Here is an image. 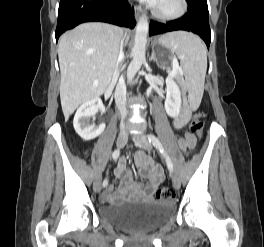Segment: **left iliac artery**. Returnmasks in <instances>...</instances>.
Segmentation results:
<instances>
[{
    "mask_svg": "<svg viewBox=\"0 0 264 247\" xmlns=\"http://www.w3.org/2000/svg\"><path fill=\"white\" fill-rule=\"evenodd\" d=\"M148 139H149V142H151L160 151V153L165 157V160H166L167 167H168L169 171L173 172L172 161H171L170 157L166 154V152H165L160 140L153 134H149L148 135Z\"/></svg>",
    "mask_w": 264,
    "mask_h": 247,
    "instance_id": "obj_1",
    "label": "left iliac artery"
}]
</instances>
